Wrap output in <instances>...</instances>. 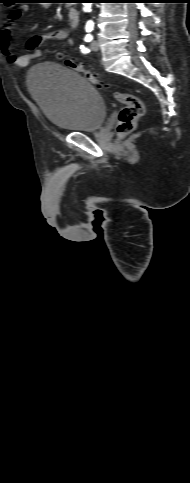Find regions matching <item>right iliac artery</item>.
Listing matches in <instances>:
<instances>
[{"label": "right iliac artery", "instance_id": "1", "mask_svg": "<svg viewBox=\"0 0 190 483\" xmlns=\"http://www.w3.org/2000/svg\"><path fill=\"white\" fill-rule=\"evenodd\" d=\"M85 30L86 32H91L93 30V24H87Z\"/></svg>", "mask_w": 190, "mask_h": 483}]
</instances>
